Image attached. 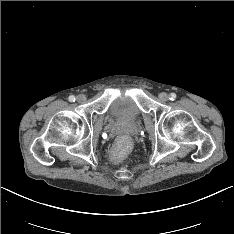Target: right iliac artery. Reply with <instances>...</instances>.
<instances>
[{
  "label": "right iliac artery",
  "instance_id": "obj_1",
  "mask_svg": "<svg viewBox=\"0 0 234 234\" xmlns=\"http://www.w3.org/2000/svg\"><path fill=\"white\" fill-rule=\"evenodd\" d=\"M68 99H69L70 102H74L75 101V96L71 95V96H69Z\"/></svg>",
  "mask_w": 234,
  "mask_h": 234
}]
</instances>
